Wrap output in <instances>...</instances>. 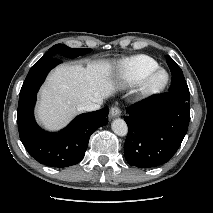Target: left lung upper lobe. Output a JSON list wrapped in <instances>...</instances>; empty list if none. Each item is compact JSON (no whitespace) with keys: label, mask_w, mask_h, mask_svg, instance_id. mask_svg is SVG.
I'll return each mask as SVG.
<instances>
[{"label":"left lung upper lobe","mask_w":213,"mask_h":213,"mask_svg":"<svg viewBox=\"0 0 213 213\" xmlns=\"http://www.w3.org/2000/svg\"><path fill=\"white\" fill-rule=\"evenodd\" d=\"M166 61L172 73V82L169 88V92L180 93L189 96V89L182 70L169 56H166Z\"/></svg>","instance_id":"1"}]
</instances>
